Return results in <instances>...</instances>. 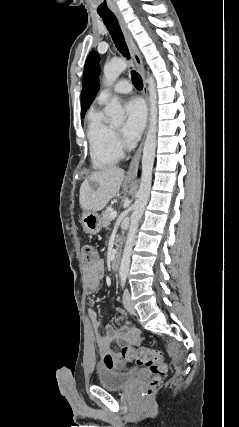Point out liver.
I'll return each instance as SVG.
<instances>
[{"label": "liver", "instance_id": "6515ba94", "mask_svg": "<svg viewBox=\"0 0 239 427\" xmlns=\"http://www.w3.org/2000/svg\"><path fill=\"white\" fill-rule=\"evenodd\" d=\"M124 174V170L117 166H109L93 172L81 184L79 194L81 208L94 212L104 209L119 192Z\"/></svg>", "mask_w": 239, "mask_h": 427}]
</instances>
